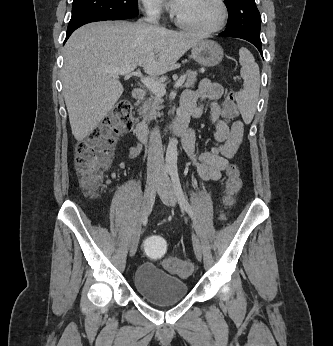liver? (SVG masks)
Masks as SVG:
<instances>
[{
  "instance_id": "obj_1",
  "label": "liver",
  "mask_w": 333,
  "mask_h": 346,
  "mask_svg": "<svg viewBox=\"0 0 333 346\" xmlns=\"http://www.w3.org/2000/svg\"><path fill=\"white\" fill-rule=\"evenodd\" d=\"M204 39L146 23L98 22L77 29L65 44L63 95L72 134L82 141L121 97L120 81L105 68L136 64L151 75L170 71Z\"/></svg>"
}]
</instances>
